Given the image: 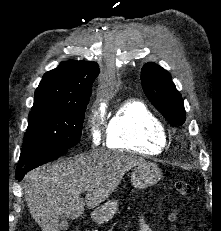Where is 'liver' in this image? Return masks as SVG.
Segmentation results:
<instances>
[{
    "label": "liver",
    "instance_id": "1",
    "mask_svg": "<svg viewBox=\"0 0 221 231\" xmlns=\"http://www.w3.org/2000/svg\"><path fill=\"white\" fill-rule=\"evenodd\" d=\"M143 162L124 152L94 151L32 170L23 183L31 216L42 231H59L61 218L76 219L85 205L88 209L100 205L125 173Z\"/></svg>",
    "mask_w": 221,
    "mask_h": 231
}]
</instances>
